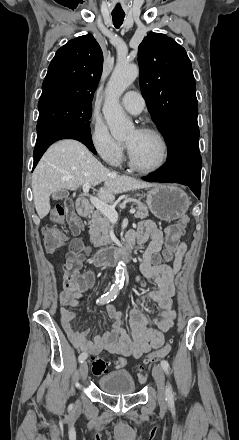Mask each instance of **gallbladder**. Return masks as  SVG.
Returning a JSON list of instances; mask_svg holds the SVG:
<instances>
[{
    "instance_id": "1",
    "label": "gallbladder",
    "mask_w": 239,
    "mask_h": 440,
    "mask_svg": "<svg viewBox=\"0 0 239 440\" xmlns=\"http://www.w3.org/2000/svg\"><path fill=\"white\" fill-rule=\"evenodd\" d=\"M53 200H63V198H68L67 190H56L52 194Z\"/></svg>"
}]
</instances>
